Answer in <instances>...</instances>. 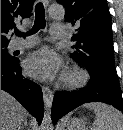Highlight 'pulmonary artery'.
I'll return each mask as SVG.
<instances>
[{
    "mask_svg": "<svg viewBox=\"0 0 123 130\" xmlns=\"http://www.w3.org/2000/svg\"><path fill=\"white\" fill-rule=\"evenodd\" d=\"M51 36L55 39H63L67 36L66 27L63 24L55 23L51 27ZM38 42L36 37H30L26 40H14L11 43V48L14 50L29 48L36 45Z\"/></svg>",
    "mask_w": 123,
    "mask_h": 130,
    "instance_id": "obj_1",
    "label": "pulmonary artery"
}]
</instances>
